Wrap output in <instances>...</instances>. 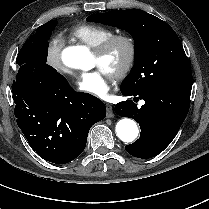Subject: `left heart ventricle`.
I'll list each match as a JSON object with an SVG mask.
<instances>
[{"instance_id":"obj_1","label":"left heart ventricle","mask_w":209,"mask_h":209,"mask_svg":"<svg viewBox=\"0 0 209 209\" xmlns=\"http://www.w3.org/2000/svg\"><path fill=\"white\" fill-rule=\"evenodd\" d=\"M127 55V49L123 44H118L105 60H100L94 54L93 65L102 68L111 76L123 63Z\"/></svg>"}]
</instances>
